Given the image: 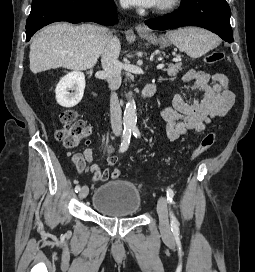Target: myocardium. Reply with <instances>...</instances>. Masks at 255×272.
<instances>
[{
    "mask_svg": "<svg viewBox=\"0 0 255 272\" xmlns=\"http://www.w3.org/2000/svg\"><path fill=\"white\" fill-rule=\"evenodd\" d=\"M181 0H163L156 7V13H166L176 8Z\"/></svg>",
    "mask_w": 255,
    "mask_h": 272,
    "instance_id": "1",
    "label": "myocardium"
}]
</instances>
